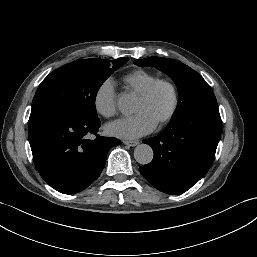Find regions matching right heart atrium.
<instances>
[{
    "label": "right heart atrium",
    "instance_id": "right-heart-atrium-1",
    "mask_svg": "<svg viewBox=\"0 0 257 257\" xmlns=\"http://www.w3.org/2000/svg\"><path fill=\"white\" fill-rule=\"evenodd\" d=\"M94 108L101 116L110 118L117 113V96L110 80L101 83L93 97Z\"/></svg>",
    "mask_w": 257,
    "mask_h": 257
}]
</instances>
